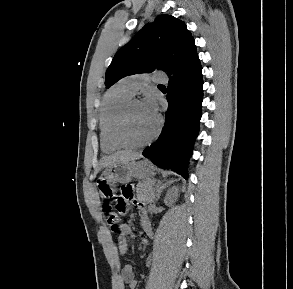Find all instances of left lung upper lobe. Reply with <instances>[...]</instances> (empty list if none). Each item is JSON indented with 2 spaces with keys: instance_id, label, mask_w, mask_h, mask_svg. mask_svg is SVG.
Returning a JSON list of instances; mask_svg holds the SVG:
<instances>
[{
  "instance_id": "5c2ea615",
  "label": "left lung upper lobe",
  "mask_w": 293,
  "mask_h": 289,
  "mask_svg": "<svg viewBox=\"0 0 293 289\" xmlns=\"http://www.w3.org/2000/svg\"><path fill=\"white\" fill-rule=\"evenodd\" d=\"M196 55L194 38L186 24L163 14L146 24L115 54L105 74V85L110 87L123 77L152 72L156 68L171 75Z\"/></svg>"
}]
</instances>
